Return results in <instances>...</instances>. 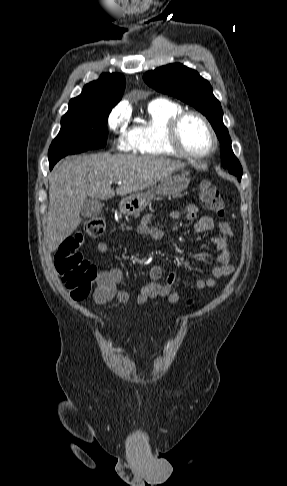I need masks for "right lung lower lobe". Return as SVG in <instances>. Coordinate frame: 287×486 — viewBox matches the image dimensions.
<instances>
[{
  "instance_id": "98d812e1",
  "label": "right lung lower lobe",
  "mask_w": 287,
  "mask_h": 486,
  "mask_svg": "<svg viewBox=\"0 0 287 486\" xmlns=\"http://www.w3.org/2000/svg\"><path fill=\"white\" fill-rule=\"evenodd\" d=\"M54 165H55V164H50V169H52Z\"/></svg>"
}]
</instances>
